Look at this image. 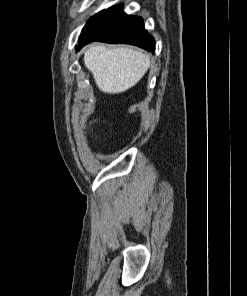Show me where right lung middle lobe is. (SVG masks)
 Returning <instances> with one entry per match:
<instances>
[{"mask_svg": "<svg viewBox=\"0 0 247 296\" xmlns=\"http://www.w3.org/2000/svg\"><path fill=\"white\" fill-rule=\"evenodd\" d=\"M103 12H104V10H103V11H100L99 13L95 14L93 17H91V18L89 19V21L87 22V24L85 25V27L83 28V30H82V32H81L80 38H79V40H78V43H80L81 41H83L84 38H85L86 35H87V33H86V26H87L89 23H91V22H93L94 20H96V19H97V18H98Z\"/></svg>", "mask_w": 247, "mask_h": 296, "instance_id": "right-lung-middle-lobe-1", "label": "right lung middle lobe"}]
</instances>
